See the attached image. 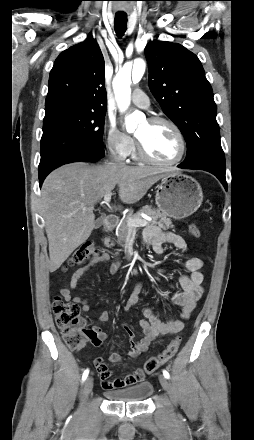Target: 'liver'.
<instances>
[{"label":"liver","instance_id":"6515ba94","mask_svg":"<svg viewBox=\"0 0 254 440\" xmlns=\"http://www.w3.org/2000/svg\"><path fill=\"white\" fill-rule=\"evenodd\" d=\"M164 175L147 167L77 162L51 172L41 189V211L49 243V269L56 271L95 227L94 205L118 186L123 203L133 204Z\"/></svg>","mask_w":254,"mask_h":440}]
</instances>
